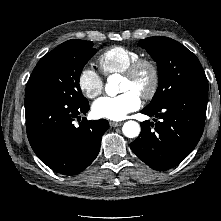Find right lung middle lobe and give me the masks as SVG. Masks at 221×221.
I'll return each instance as SVG.
<instances>
[{"mask_svg":"<svg viewBox=\"0 0 221 221\" xmlns=\"http://www.w3.org/2000/svg\"><path fill=\"white\" fill-rule=\"evenodd\" d=\"M96 52L91 41L73 39L60 44L37 63L25 95L55 98L72 106L88 103L82 95L79 79L85 64Z\"/></svg>","mask_w":221,"mask_h":221,"instance_id":"dd1d6c3e","label":"right lung middle lobe"}]
</instances>
